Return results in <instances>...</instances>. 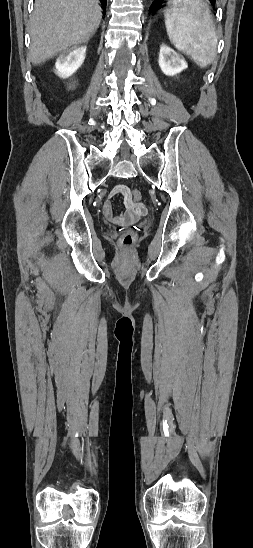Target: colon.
Returning <instances> with one entry per match:
<instances>
[{"label": "colon", "instance_id": "colon-1", "mask_svg": "<svg viewBox=\"0 0 253 548\" xmlns=\"http://www.w3.org/2000/svg\"><path fill=\"white\" fill-rule=\"evenodd\" d=\"M130 194L134 202H139L142 199V194L138 189H134ZM119 244L124 250L129 251L135 244V236L130 232L123 234L119 240Z\"/></svg>", "mask_w": 253, "mask_h": 548}]
</instances>
